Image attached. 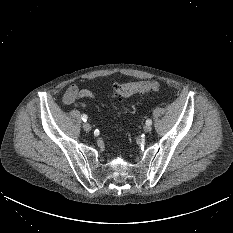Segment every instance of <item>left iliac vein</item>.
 <instances>
[{
	"label": "left iliac vein",
	"mask_w": 233,
	"mask_h": 233,
	"mask_svg": "<svg viewBox=\"0 0 233 233\" xmlns=\"http://www.w3.org/2000/svg\"><path fill=\"white\" fill-rule=\"evenodd\" d=\"M151 129H152V128H151V125H147V124H146V125L144 126V131H145V132H150Z\"/></svg>",
	"instance_id": "left-iliac-vein-1"
}]
</instances>
